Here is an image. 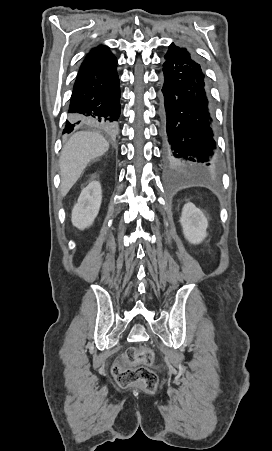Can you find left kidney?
<instances>
[{"mask_svg":"<svg viewBox=\"0 0 272 451\" xmlns=\"http://www.w3.org/2000/svg\"><path fill=\"white\" fill-rule=\"evenodd\" d=\"M180 222L183 227V233L190 243H200L206 237L207 218L192 202H188V204L183 206Z\"/></svg>","mask_w":272,"mask_h":451,"instance_id":"left-kidney-1","label":"left kidney"}]
</instances>
